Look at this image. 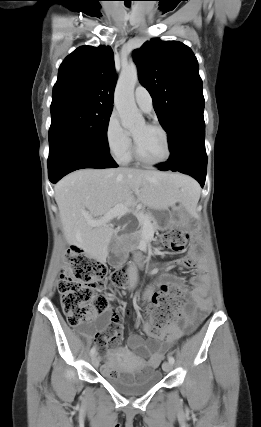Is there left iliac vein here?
Segmentation results:
<instances>
[{
	"mask_svg": "<svg viewBox=\"0 0 261 427\" xmlns=\"http://www.w3.org/2000/svg\"><path fill=\"white\" fill-rule=\"evenodd\" d=\"M162 369L165 372H170L172 370V364L170 362H164L162 365Z\"/></svg>",
	"mask_w": 261,
	"mask_h": 427,
	"instance_id": "obj_1",
	"label": "left iliac vein"
}]
</instances>
